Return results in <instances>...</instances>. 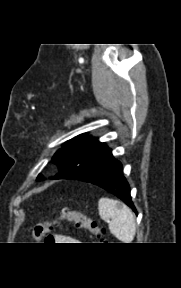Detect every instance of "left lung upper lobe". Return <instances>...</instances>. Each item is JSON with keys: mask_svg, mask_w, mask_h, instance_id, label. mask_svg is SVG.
Returning <instances> with one entry per match:
<instances>
[{"mask_svg": "<svg viewBox=\"0 0 181 288\" xmlns=\"http://www.w3.org/2000/svg\"><path fill=\"white\" fill-rule=\"evenodd\" d=\"M112 156L111 149L95 138L86 137V134L65 142L53 157L60 172L54 179H76L89 175ZM40 174L37 180H41Z\"/></svg>", "mask_w": 181, "mask_h": 288, "instance_id": "1", "label": "left lung upper lobe"}]
</instances>
